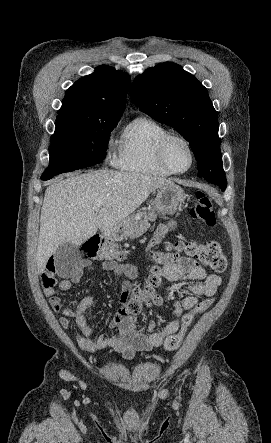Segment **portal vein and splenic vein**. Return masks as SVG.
Instances as JSON below:
<instances>
[{
	"label": "portal vein and splenic vein",
	"mask_w": 271,
	"mask_h": 443,
	"mask_svg": "<svg viewBox=\"0 0 271 443\" xmlns=\"http://www.w3.org/2000/svg\"><path fill=\"white\" fill-rule=\"evenodd\" d=\"M103 204H105V202H95L94 204L95 210H99V208H102Z\"/></svg>",
	"instance_id": "1"
}]
</instances>
